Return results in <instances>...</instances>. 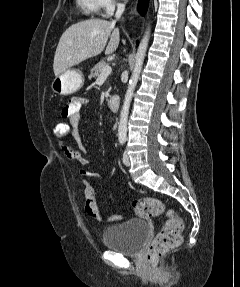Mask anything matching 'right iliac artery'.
Listing matches in <instances>:
<instances>
[{
    "label": "right iliac artery",
    "mask_w": 240,
    "mask_h": 287,
    "mask_svg": "<svg viewBox=\"0 0 240 287\" xmlns=\"http://www.w3.org/2000/svg\"><path fill=\"white\" fill-rule=\"evenodd\" d=\"M120 144L123 145V144H124V140H121V141H120Z\"/></svg>",
    "instance_id": "1"
}]
</instances>
